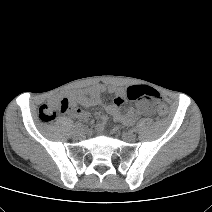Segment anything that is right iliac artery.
Returning a JSON list of instances; mask_svg holds the SVG:
<instances>
[{"instance_id": "82829eb1", "label": "right iliac artery", "mask_w": 212, "mask_h": 212, "mask_svg": "<svg viewBox=\"0 0 212 212\" xmlns=\"http://www.w3.org/2000/svg\"><path fill=\"white\" fill-rule=\"evenodd\" d=\"M83 125L80 123V122H76L75 124H74V128L75 129H80L81 127H82Z\"/></svg>"}]
</instances>
